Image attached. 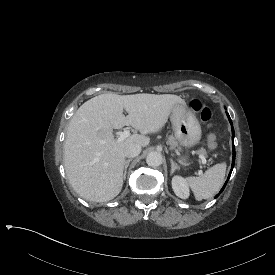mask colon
<instances>
[{"label":"colon","mask_w":275,"mask_h":275,"mask_svg":"<svg viewBox=\"0 0 275 275\" xmlns=\"http://www.w3.org/2000/svg\"><path fill=\"white\" fill-rule=\"evenodd\" d=\"M192 108L200 113L202 120L206 123H210L214 118V112L211 108L207 107L202 101L194 100L192 102ZM208 147L211 150H215L217 147V137L215 133L211 132L209 135Z\"/></svg>","instance_id":"5ec220e1"}]
</instances>
